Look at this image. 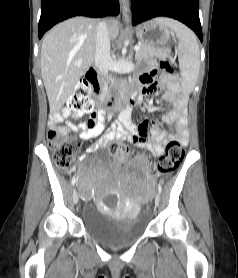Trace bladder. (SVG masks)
<instances>
[{
	"label": "bladder",
	"instance_id": "1",
	"mask_svg": "<svg viewBox=\"0 0 238 278\" xmlns=\"http://www.w3.org/2000/svg\"><path fill=\"white\" fill-rule=\"evenodd\" d=\"M149 212L141 209L135 216L114 217L102 212L93 203L82 210L85 231L96 241L106 246H120L141 237L149 222Z\"/></svg>",
	"mask_w": 238,
	"mask_h": 278
}]
</instances>
